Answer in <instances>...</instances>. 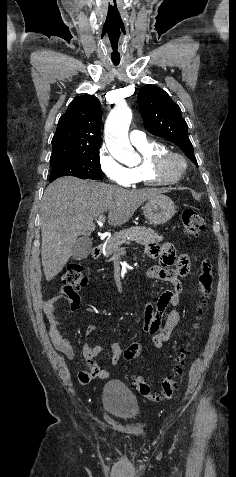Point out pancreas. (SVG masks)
Returning <instances> with one entry per match:
<instances>
[{"mask_svg":"<svg viewBox=\"0 0 236 477\" xmlns=\"http://www.w3.org/2000/svg\"><path fill=\"white\" fill-rule=\"evenodd\" d=\"M127 240L135 241L141 245H148L151 243L161 242L163 237L159 236L151 228L141 226L130 227L115 233L107 241L105 246V255L111 256L117 254L120 251V245Z\"/></svg>","mask_w":236,"mask_h":477,"instance_id":"cf45deb5","label":"pancreas"}]
</instances>
